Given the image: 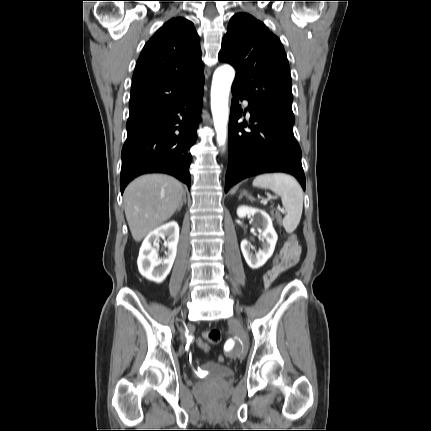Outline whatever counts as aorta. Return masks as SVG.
Returning a JSON list of instances; mask_svg holds the SVG:
<instances>
[{"mask_svg":"<svg viewBox=\"0 0 431 431\" xmlns=\"http://www.w3.org/2000/svg\"><path fill=\"white\" fill-rule=\"evenodd\" d=\"M235 77V71L230 65L218 67L213 75L211 87V110L217 142L224 146L227 137L228 98L230 88Z\"/></svg>","mask_w":431,"mask_h":431,"instance_id":"obj_1","label":"aorta"}]
</instances>
